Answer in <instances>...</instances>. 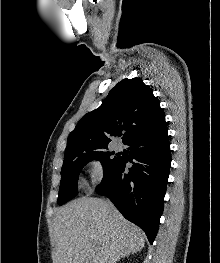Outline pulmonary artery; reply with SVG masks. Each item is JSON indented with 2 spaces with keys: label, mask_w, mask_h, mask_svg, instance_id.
<instances>
[{
  "label": "pulmonary artery",
  "mask_w": 220,
  "mask_h": 263,
  "mask_svg": "<svg viewBox=\"0 0 220 263\" xmlns=\"http://www.w3.org/2000/svg\"><path fill=\"white\" fill-rule=\"evenodd\" d=\"M115 148H116L117 151H121L123 146H122L121 143H117Z\"/></svg>",
  "instance_id": "obj_1"
}]
</instances>
